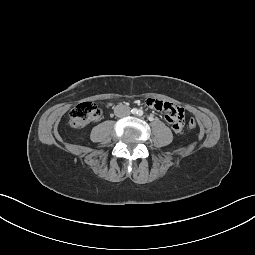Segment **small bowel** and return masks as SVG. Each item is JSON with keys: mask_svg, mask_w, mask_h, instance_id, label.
I'll use <instances>...</instances> for the list:
<instances>
[{"mask_svg": "<svg viewBox=\"0 0 255 255\" xmlns=\"http://www.w3.org/2000/svg\"><path fill=\"white\" fill-rule=\"evenodd\" d=\"M146 104L149 107L157 111L163 112L165 114V117L167 121L170 123V127L175 135L182 136L185 134L186 132L185 112L183 109H181L180 106L155 98L147 99ZM110 106L111 104L108 103L107 107Z\"/></svg>", "mask_w": 255, "mask_h": 255, "instance_id": "c3829d8e", "label": "small bowel"}]
</instances>
